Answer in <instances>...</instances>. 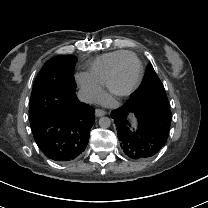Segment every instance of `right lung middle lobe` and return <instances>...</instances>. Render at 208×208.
I'll list each match as a JSON object with an SVG mask.
<instances>
[{
	"instance_id": "1",
	"label": "right lung middle lobe",
	"mask_w": 208,
	"mask_h": 208,
	"mask_svg": "<svg viewBox=\"0 0 208 208\" xmlns=\"http://www.w3.org/2000/svg\"><path fill=\"white\" fill-rule=\"evenodd\" d=\"M77 59L71 55L48 60L36 77L29 106L30 121L43 115L56 100L75 95L74 66ZM54 106V105H52ZM51 106V107H52Z\"/></svg>"
}]
</instances>
